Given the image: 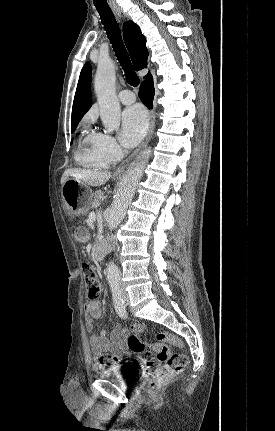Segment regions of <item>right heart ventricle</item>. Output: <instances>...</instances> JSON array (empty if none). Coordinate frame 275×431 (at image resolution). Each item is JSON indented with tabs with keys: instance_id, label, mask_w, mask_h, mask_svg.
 Here are the masks:
<instances>
[{
	"instance_id": "e07e8e85",
	"label": "right heart ventricle",
	"mask_w": 275,
	"mask_h": 431,
	"mask_svg": "<svg viewBox=\"0 0 275 431\" xmlns=\"http://www.w3.org/2000/svg\"><path fill=\"white\" fill-rule=\"evenodd\" d=\"M97 133H88L81 140V147L77 151V160L91 168H107L112 162L101 156L95 146Z\"/></svg>"
}]
</instances>
